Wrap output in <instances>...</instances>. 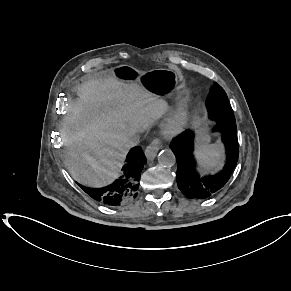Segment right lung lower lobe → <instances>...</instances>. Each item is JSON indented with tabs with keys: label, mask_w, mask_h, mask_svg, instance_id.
<instances>
[{
	"label": "right lung lower lobe",
	"mask_w": 291,
	"mask_h": 291,
	"mask_svg": "<svg viewBox=\"0 0 291 291\" xmlns=\"http://www.w3.org/2000/svg\"><path fill=\"white\" fill-rule=\"evenodd\" d=\"M146 164L141 147H134L126 157L122 175L112 184L103 188H88L78 184L84 192L97 202L106 206H120L132 201L139 190L140 174Z\"/></svg>",
	"instance_id": "right-lung-lower-lobe-1"
}]
</instances>
